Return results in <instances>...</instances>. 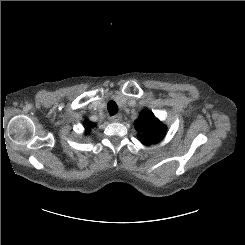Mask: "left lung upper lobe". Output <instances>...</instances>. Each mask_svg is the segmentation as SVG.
Wrapping results in <instances>:
<instances>
[{
    "mask_svg": "<svg viewBox=\"0 0 245 245\" xmlns=\"http://www.w3.org/2000/svg\"><path fill=\"white\" fill-rule=\"evenodd\" d=\"M139 132L138 137L144 145L155 144L165 135L166 126L163 125L149 110H144L134 123Z\"/></svg>",
    "mask_w": 245,
    "mask_h": 245,
    "instance_id": "left-lung-upper-lobe-1",
    "label": "left lung upper lobe"
}]
</instances>
